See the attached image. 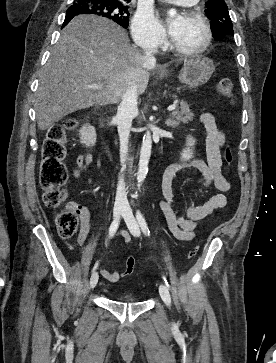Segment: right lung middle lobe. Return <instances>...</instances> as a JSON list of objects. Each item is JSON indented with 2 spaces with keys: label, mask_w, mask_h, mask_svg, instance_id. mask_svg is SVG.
<instances>
[{
  "label": "right lung middle lobe",
  "mask_w": 276,
  "mask_h": 363,
  "mask_svg": "<svg viewBox=\"0 0 276 363\" xmlns=\"http://www.w3.org/2000/svg\"><path fill=\"white\" fill-rule=\"evenodd\" d=\"M78 14H92L103 16L113 20L126 28L128 26V9L122 2L107 0H75L74 4L68 8L66 16Z\"/></svg>",
  "instance_id": "dd1d6c3e"
}]
</instances>
